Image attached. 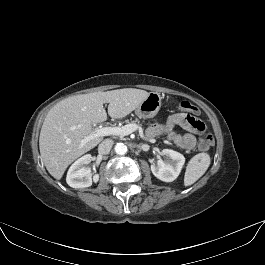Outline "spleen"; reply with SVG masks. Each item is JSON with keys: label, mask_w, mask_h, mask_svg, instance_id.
<instances>
[{"label": "spleen", "mask_w": 265, "mask_h": 265, "mask_svg": "<svg viewBox=\"0 0 265 265\" xmlns=\"http://www.w3.org/2000/svg\"><path fill=\"white\" fill-rule=\"evenodd\" d=\"M211 159L207 153H199L191 158L189 161L185 175L184 185L190 186L195 183L203 174L207 171L210 165Z\"/></svg>", "instance_id": "obj_1"}]
</instances>
